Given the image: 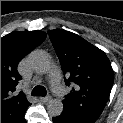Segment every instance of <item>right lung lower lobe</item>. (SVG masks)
<instances>
[{"label": "right lung lower lobe", "mask_w": 123, "mask_h": 123, "mask_svg": "<svg viewBox=\"0 0 123 123\" xmlns=\"http://www.w3.org/2000/svg\"><path fill=\"white\" fill-rule=\"evenodd\" d=\"M3 123H6V122H3ZM13 123H26V120L24 119V117H22L19 121L13 122Z\"/></svg>", "instance_id": "right-lung-lower-lobe-1"}]
</instances>
